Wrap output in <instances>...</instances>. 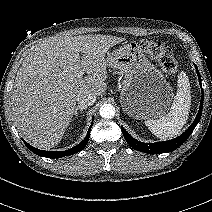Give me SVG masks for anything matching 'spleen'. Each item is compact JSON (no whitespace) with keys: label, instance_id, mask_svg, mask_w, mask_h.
<instances>
[{"label":"spleen","instance_id":"obj_1","mask_svg":"<svg viewBox=\"0 0 212 212\" xmlns=\"http://www.w3.org/2000/svg\"><path fill=\"white\" fill-rule=\"evenodd\" d=\"M191 105L190 84L185 72H180L177 93L170 111L163 117L145 121L149 130L160 139L177 136L187 122Z\"/></svg>","mask_w":212,"mask_h":212}]
</instances>
